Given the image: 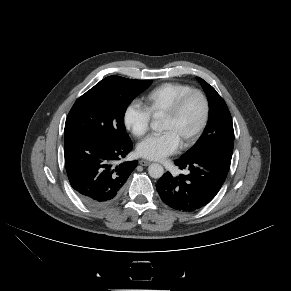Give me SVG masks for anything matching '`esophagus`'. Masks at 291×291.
<instances>
[{"mask_svg":"<svg viewBox=\"0 0 291 291\" xmlns=\"http://www.w3.org/2000/svg\"><path fill=\"white\" fill-rule=\"evenodd\" d=\"M139 164L142 165V166H148V165L151 164V162L150 161H147V160H144V159H141L139 161Z\"/></svg>","mask_w":291,"mask_h":291,"instance_id":"obj_1","label":"esophagus"}]
</instances>
